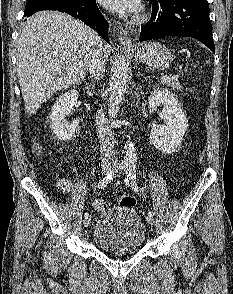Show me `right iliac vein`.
Listing matches in <instances>:
<instances>
[{
  "label": "right iliac vein",
  "instance_id": "right-iliac-vein-1",
  "mask_svg": "<svg viewBox=\"0 0 233 294\" xmlns=\"http://www.w3.org/2000/svg\"><path fill=\"white\" fill-rule=\"evenodd\" d=\"M111 172H112V167L111 166H109V165H104L103 166V174L108 175ZM90 221H91L90 218H85V220H84V226L85 227H88L90 225Z\"/></svg>",
  "mask_w": 233,
  "mask_h": 294
}]
</instances>
